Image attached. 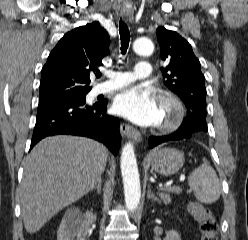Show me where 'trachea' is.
Returning a JSON list of instances; mask_svg holds the SVG:
<instances>
[{"label":"trachea","instance_id":"3493384b","mask_svg":"<svg viewBox=\"0 0 248 240\" xmlns=\"http://www.w3.org/2000/svg\"><path fill=\"white\" fill-rule=\"evenodd\" d=\"M119 32L121 39V53L124 55L127 51L130 41V32L127 24L121 19L119 22ZM97 77L101 76V73H97Z\"/></svg>","mask_w":248,"mask_h":240}]
</instances>
